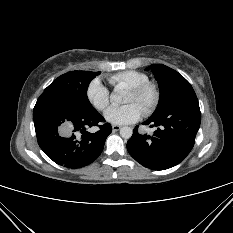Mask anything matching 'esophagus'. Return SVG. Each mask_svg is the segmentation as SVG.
Returning <instances> with one entry per match:
<instances>
[{
  "label": "esophagus",
  "mask_w": 233,
  "mask_h": 233,
  "mask_svg": "<svg viewBox=\"0 0 233 233\" xmlns=\"http://www.w3.org/2000/svg\"><path fill=\"white\" fill-rule=\"evenodd\" d=\"M120 129H121V126H119V125H112V130L113 131H118Z\"/></svg>",
  "instance_id": "34e87169"
}]
</instances>
